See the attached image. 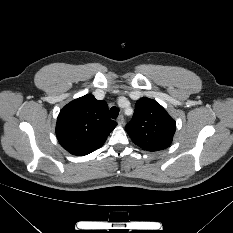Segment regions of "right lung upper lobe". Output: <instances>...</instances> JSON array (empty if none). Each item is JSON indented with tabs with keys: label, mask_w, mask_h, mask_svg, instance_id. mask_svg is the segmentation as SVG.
Returning a JSON list of instances; mask_svg holds the SVG:
<instances>
[{
	"label": "right lung upper lobe",
	"mask_w": 233,
	"mask_h": 233,
	"mask_svg": "<svg viewBox=\"0 0 233 233\" xmlns=\"http://www.w3.org/2000/svg\"><path fill=\"white\" fill-rule=\"evenodd\" d=\"M116 125L108 116L107 103L87 94L60 111L56 135L65 150L83 156L100 148Z\"/></svg>",
	"instance_id": "right-lung-upper-lobe-1"
}]
</instances>
